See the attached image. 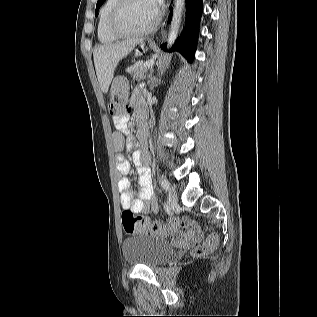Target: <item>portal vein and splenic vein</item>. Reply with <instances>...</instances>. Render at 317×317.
Here are the masks:
<instances>
[{
	"label": "portal vein and splenic vein",
	"instance_id": "1",
	"mask_svg": "<svg viewBox=\"0 0 317 317\" xmlns=\"http://www.w3.org/2000/svg\"><path fill=\"white\" fill-rule=\"evenodd\" d=\"M154 61L153 60H150V61H147L144 66L145 67H150L151 65H153Z\"/></svg>",
	"mask_w": 317,
	"mask_h": 317
}]
</instances>
